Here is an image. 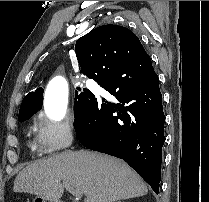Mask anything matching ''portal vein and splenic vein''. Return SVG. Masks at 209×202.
<instances>
[{
	"mask_svg": "<svg viewBox=\"0 0 209 202\" xmlns=\"http://www.w3.org/2000/svg\"><path fill=\"white\" fill-rule=\"evenodd\" d=\"M63 185L65 186V188L72 194L74 195V197H76V199H81L83 196V193L80 189H77L75 187H73L72 185H70L68 182L63 181Z\"/></svg>",
	"mask_w": 209,
	"mask_h": 202,
	"instance_id": "portal-vein-and-splenic-vein-1",
	"label": "portal vein and splenic vein"
}]
</instances>
